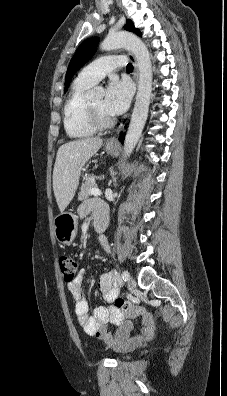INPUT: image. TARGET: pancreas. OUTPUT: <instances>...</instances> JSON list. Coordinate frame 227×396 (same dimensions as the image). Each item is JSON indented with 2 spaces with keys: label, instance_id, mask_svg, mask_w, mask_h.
Returning a JSON list of instances; mask_svg holds the SVG:
<instances>
[{
  "label": "pancreas",
  "instance_id": "obj_1",
  "mask_svg": "<svg viewBox=\"0 0 227 396\" xmlns=\"http://www.w3.org/2000/svg\"><path fill=\"white\" fill-rule=\"evenodd\" d=\"M97 184L95 183V178L93 177H86L84 183L82 184L81 191L79 193V199L85 200L87 199L90 194V189L96 188Z\"/></svg>",
  "mask_w": 227,
  "mask_h": 396
}]
</instances>
